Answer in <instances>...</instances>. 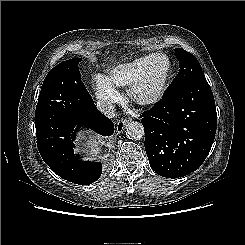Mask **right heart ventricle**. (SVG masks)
Masks as SVG:
<instances>
[{"instance_id":"right-heart-ventricle-1","label":"right heart ventricle","mask_w":245,"mask_h":245,"mask_svg":"<svg viewBox=\"0 0 245 245\" xmlns=\"http://www.w3.org/2000/svg\"><path fill=\"white\" fill-rule=\"evenodd\" d=\"M149 55L121 63L113 67L107 76V81L114 87H129L140 73Z\"/></svg>"}]
</instances>
